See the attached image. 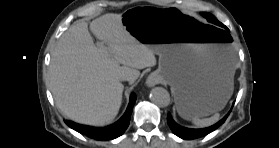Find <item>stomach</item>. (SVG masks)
Returning a JSON list of instances; mask_svg holds the SVG:
<instances>
[{"instance_id": "1", "label": "stomach", "mask_w": 279, "mask_h": 148, "mask_svg": "<svg viewBox=\"0 0 279 148\" xmlns=\"http://www.w3.org/2000/svg\"><path fill=\"white\" fill-rule=\"evenodd\" d=\"M122 25L159 55L156 71L171 86L179 115L208 116L224 108L233 93L235 59L226 30L160 5H136Z\"/></svg>"}]
</instances>
